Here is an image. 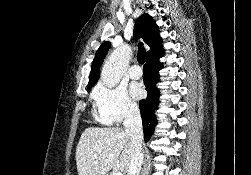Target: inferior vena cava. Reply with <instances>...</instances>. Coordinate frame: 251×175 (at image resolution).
<instances>
[{
    "instance_id": "1",
    "label": "inferior vena cava",
    "mask_w": 251,
    "mask_h": 175,
    "mask_svg": "<svg viewBox=\"0 0 251 175\" xmlns=\"http://www.w3.org/2000/svg\"><path fill=\"white\" fill-rule=\"evenodd\" d=\"M123 125L126 133L131 135L132 155L127 169L128 175H139L143 163V129L137 105H128L125 109Z\"/></svg>"
}]
</instances>
